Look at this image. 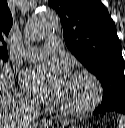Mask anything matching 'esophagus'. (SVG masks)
Wrapping results in <instances>:
<instances>
[{
    "instance_id": "esophagus-1",
    "label": "esophagus",
    "mask_w": 125,
    "mask_h": 128,
    "mask_svg": "<svg viewBox=\"0 0 125 128\" xmlns=\"http://www.w3.org/2000/svg\"><path fill=\"white\" fill-rule=\"evenodd\" d=\"M42 124H43L45 127H52V126H53L52 121H51V120H46V119H44V120L42 121Z\"/></svg>"
}]
</instances>
